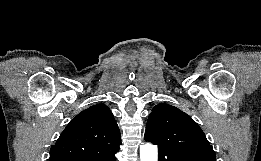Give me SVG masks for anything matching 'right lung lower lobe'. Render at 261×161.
Masks as SVG:
<instances>
[{"label": "right lung lower lobe", "instance_id": "1", "mask_svg": "<svg viewBox=\"0 0 261 161\" xmlns=\"http://www.w3.org/2000/svg\"><path fill=\"white\" fill-rule=\"evenodd\" d=\"M118 150L119 148L94 156L81 157L74 161H116L115 153L118 152Z\"/></svg>", "mask_w": 261, "mask_h": 161}]
</instances>
